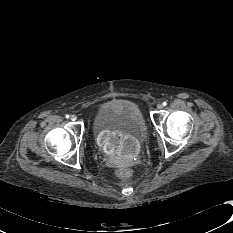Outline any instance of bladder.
Segmentation results:
<instances>
[{"label":"bladder","mask_w":233,"mask_h":233,"mask_svg":"<svg viewBox=\"0 0 233 233\" xmlns=\"http://www.w3.org/2000/svg\"><path fill=\"white\" fill-rule=\"evenodd\" d=\"M94 132H120L123 135L145 136L146 123L137 105L129 102L105 103L92 119Z\"/></svg>","instance_id":"bladder-1"}]
</instances>
